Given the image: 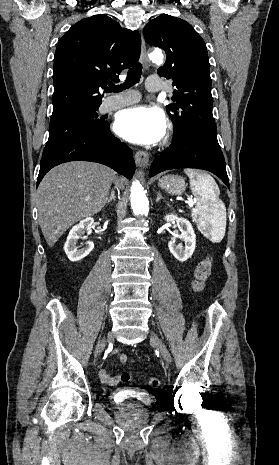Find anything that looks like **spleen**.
I'll return each mask as SVG.
<instances>
[{
	"label": "spleen",
	"instance_id": "1",
	"mask_svg": "<svg viewBox=\"0 0 279 465\" xmlns=\"http://www.w3.org/2000/svg\"><path fill=\"white\" fill-rule=\"evenodd\" d=\"M184 172L190 178V188L195 197L192 209L193 221L198 229L205 233L212 242L219 243L226 230V208L219 199L220 190L213 177L193 169Z\"/></svg>",
	"mask_w": 279,
	"mask_h": 465
}]
</instances>
